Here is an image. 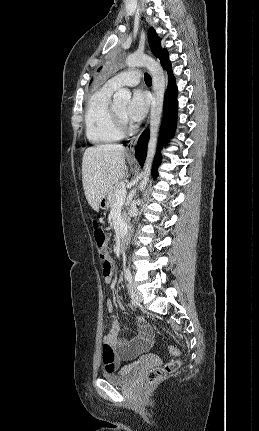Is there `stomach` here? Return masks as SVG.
<instances>
[{
	"instance_id": "0dacf381",
	"label": "stomach",
	"mask_w": 259,
	"mask_h": 431,
	"mask_svg": "<svg viewBox=\"0 0 259 431\" xmlns=\"http://www.w3.org/2000/svg\"><path fill=\"white\" fill-rule=\"evenodd\" d=\"M99 207L104 210L109 208L108 194L100 201Z\"/></svg>"
}]
</instances>
